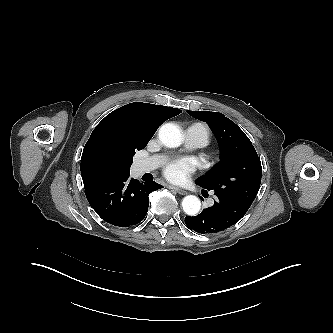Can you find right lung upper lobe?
Segmentation results:
<instances>
[{"instance_id": "cb5924a9", "label": "right lung upper lobe", "mask_w": 333, "mask_h": 333, "mask_svg": "<svg viewBox=\"0 0 333 333\" xmlns=\"http://www.w3.org/2000/svg\"><path fill=\"white\" fill-rule=\"evenodd\" d=\"M181 112L172 107L134 102L108 114L93 130L82 153L80 169L84 187L120 175L104 154L108 141L130 139L147 144L165 120Z\"/></svg>"}]
</instances>
